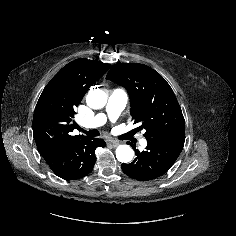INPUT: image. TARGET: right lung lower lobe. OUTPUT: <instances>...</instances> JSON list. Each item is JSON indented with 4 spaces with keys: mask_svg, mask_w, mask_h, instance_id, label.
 <instances>
[{
    "mask_svg": "<svg viewBox=\"0 0 236 236\" xmlns=\"http://www.w3.org/2000/svg\"><path fill=\"white\" fill-rule=\"evenodd\" d=\"M99 138H84L68 146H54L39 150L50 169L60 178L77 180L88 175L95 164V150L105 147Z\"/></svg>",
    "mask_w": 236,
    "mask_h": 236,
    "instance_id": "right-lung-lower-lobe-1",
    "label": "right lung lower lobe"
}]
</instances>
